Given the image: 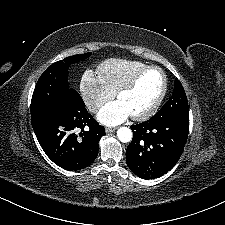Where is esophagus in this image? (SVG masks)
<instances>
[{
  "instance_id": "obj_1",
  "label": "esophagus",
  "mask_w": 225,
  "mask_h": 225,
  "mask_svg": "<svg viewBox=\"0 0 225 225\" xmlns=\"http://www.w3.org/2000/svg\"><path fill=\"white\" fill-rule=\"evenodd\" d=\"M116 129H117L116 127H107L105 131H106V133H112V132L116 131Z\"/></svg>"
}]
</instances>
